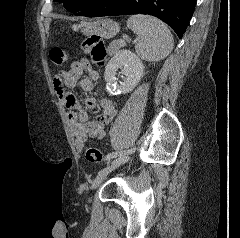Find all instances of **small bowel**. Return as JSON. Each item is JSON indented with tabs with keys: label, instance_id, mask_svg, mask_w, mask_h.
<instances>
[{
	"label": "small bowel",
	"instance_id": "1",
	"mask_svg": "<svg viewBox=\"0 0 240 238\" xmlns=\"http://www.w3.org/2000/svg\"><path fill=\"white\" fill-rule=\"evenodd\" d=\"M88 72V77L84 78V72ZM100 80V75L92 68L87 59H81L72 63L69 70L58 71L53 80L55 92L60 103L68 109V124L71 129L74 146L77 151H81L88 138L102 139L105 136V128L115 116L117 110L112 100L102 98L99 101V113L94 120H89V116L83 110L74 94L66 91V87L79 86L84 92H90L95 83ZM97 105V100L88 96L85 99V106L93 109Z\"/></svg>",
	"mask_w": 240,
	"mask_h": 238
}]
</instances>
